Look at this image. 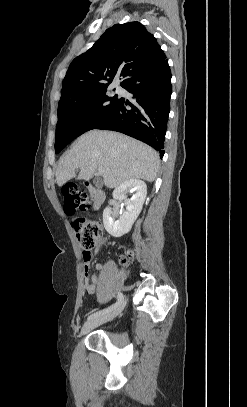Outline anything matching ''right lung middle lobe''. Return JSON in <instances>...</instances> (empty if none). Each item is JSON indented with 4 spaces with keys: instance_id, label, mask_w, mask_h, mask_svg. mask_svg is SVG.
I'll return each instance as SVG.
<instances>
[{
    "instance_id": "right-lung-middle-lobe-1",
    "label": "right lung middle lobe",
    "mask_w": 247,
    "mask_h": 407,
    "mask_svg": "<svg viewBox=\"0 0 247 407\" xmlns=\"http://www.w3.org/2000/svg\"><path fill=\"white\" fill-rule=\"evenodd\" d=\"M122 98L108 97L106 89L91 96L58 106L55 153H59L75 138L94 129L110 115Z\"/></svg>"
}]
</instances>
